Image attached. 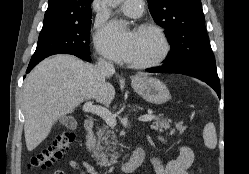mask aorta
I'll use <instances>...</instances> for the list:
<instances>
[{
	"label": "aorta",
	"mask_w": 249,
	"mask_h": 174,
	"mask_svg": "<svg viewBox=\"0 0 249 174\" xmlns=\"http://www.w3.org/2000/svg\"><path fill=\"white\" fill-rule=\"evenodd\" d=\"M109 6L111 7H116L118 6L120 3L123 2V0H107Z\"/></svg>",
	"instance_id": "obj_1"
}]
</instances>
